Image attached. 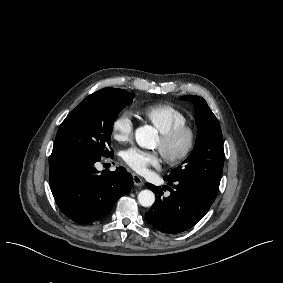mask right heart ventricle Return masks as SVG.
Here are the masks:
<instances>
[{"label":"right heart ventricle","instance_id":"obj_1","mask_svg":"<svg viewBox=\"0 0 283 283\" xmlns=\"http://www.w3.org/2000/svg\"><path fill=\"white\" fill-rule=\"evenodd\" d=\"M136 113L152 124L160 134L189 121L183 112L169 104L148 105L140 108Z\"/></svg>","mask_w":283,"mask_h":283}]
</instances>
